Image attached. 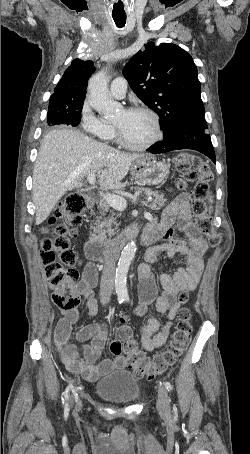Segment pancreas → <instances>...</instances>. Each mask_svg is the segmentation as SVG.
Returning <instances> with one entry per match:
<instances>
[{
	"mask_svg": "<svg viewBox=\"0 0 250 454\" xmlns=\"http://www.w3.org/2000/svg\"><path fill=\"white\" fill-rule=\"evenodd\" d=\"M138 191L146 193L148 196H152L153 199L150 201L149 207L151 209L158 210L159 208L165 205L166 199L163 195L159 194L157 191H152L148 188H138ZM100 215L96 217L94 222V226L92 229L94 232L91 234L92 239L106 242L107 236L112 237L114 235L115 230L112 228V225L117 226L116 218L114 217L115 214L105 217L106 213L110 211V206L105 202L102 201L98 206Z\"/></svg>",
	"mask_w": 250,
	"mask_h": 454,
	"instance_id": "1",
	"label": "pancreas"
}]
</instances>
